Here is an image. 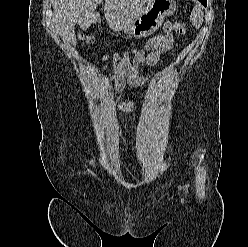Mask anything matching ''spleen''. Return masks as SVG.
Listing matches in <instances>:
<instances>
[{
    "label": "spleen",
    "instance_id": "1",
    "mask_svg": "<svg viewBox=\"0 0 248 247\" xmlns=\"http://www.w3.org/2000/svg\"><path fill=\"white\" fill-rule=\"evenodd\" d=\"M203 12L200 6H195L191 12L190 20L192 25L198 29L203 22Z\"/></svg>",
    "mask_w": 248,
    "mask_h": 247
}]
</instances>
